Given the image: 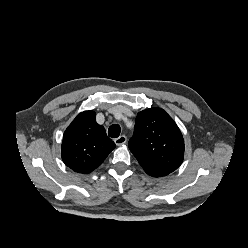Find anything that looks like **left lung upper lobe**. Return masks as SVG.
<instances>
[{"label":"left lung upper lobe","instance_id":"1","mask_svg":"<svg viewBox=\"0 0 248 248\" xmlns=\"http://www.w3.org/2000/svg\"><path fill=\"white\" fill-rule=\"evenodd\" d=\"M129 149L147 174L161 177L181 165L184 140L173 119L156 107L138 113Z\"/></svg>","mask_w":248,"mask_h":248}]
</instances>
